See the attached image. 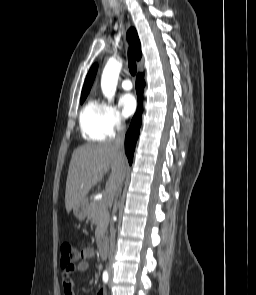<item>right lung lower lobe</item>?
<instances>
[{
  "label": "right lung lower lobe",
  "instance_id": "right-lung-lower-lobe-1",
  "mask_svg": "<svg viewBox=\"0 0 256 295\" xmlns=\"http://www.w3.org/2000/svg\"><path fill=\"white\" fill-rule=\"evenodd\" d=\"M145 85L143 75L138 74L136 79V91H137V97H138V111L134 115L130 127L126 133L125 136V152L128 157L129 164H132L133 161V153L136 145V141L139 136V130L141 126V113H142V92L143 87Z\"/></svg>",
  "mask_w": 256,
  "mask_h": 295
}]
</instances>
